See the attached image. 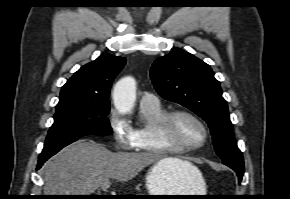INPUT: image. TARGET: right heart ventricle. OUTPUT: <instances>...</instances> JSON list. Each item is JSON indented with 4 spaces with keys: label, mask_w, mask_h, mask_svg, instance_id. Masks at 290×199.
<instances>
[{
    "label": "right heart ventricle",
    "mask_w": 290,
    "mask_h": 199,
    "mask_svg": "<svg viewBox=\"0 0 290 199\" xmlns=\"http://www.w3.org/2000/svg\"><path fill=\"white\" fill-rule=\"evenodd\" d=\"M140 112L144 122L132 128V149L136 152L160 156L179 154L167 149L156 135L157 124L166 115L167 111L160 105L156 107L140 105Z\"/></svg>",
    "instance_id": "1"
}]
</instances>
